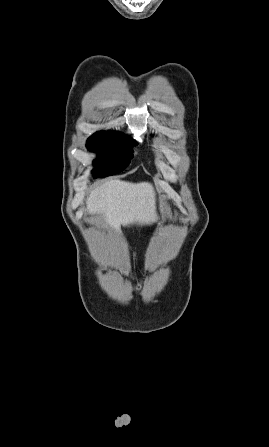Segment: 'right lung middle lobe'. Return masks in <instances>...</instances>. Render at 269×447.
<instances>
[{"label":"right lung middle lobe","mask_w":269,"mask_h":447,"mask_svg":"<svg viewBox=\"0 0 269 447\" xmlns=\"http://www.w3.org/2000/svg\"><path fill=\"white\" fill-rule=\"evenodd\" d=\"M137 143L130 137L109 131H98L87 141V148L98 153L93 161L94 178L105 177L123 171L133 157L131 149Z\"/></svg>","instance_id":"obj_1"}]
</instances>
